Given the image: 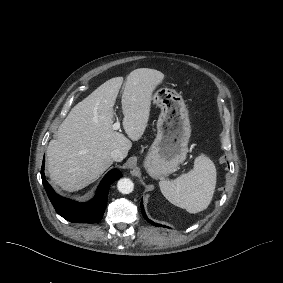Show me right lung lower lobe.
<instances>
[{
    "label": "right lung lower lobe",
    "mask_w": 283,
    "mask_h": 283,
    "mask_svg": "<svg viewBox=\"0 0 283 283\" xmlns=\"http://www.w3.org/2000/svg\"><path fill=\"white\" fill-rule=\"evenodd\" d=\"M43 159L41 177L47 195L57 213L70 222L75 223H96L103 217L110 185L113 181L121 177L117 169L109 171L101 181L96 196L93 200L86 203H77L70 199L63 198L56 194L45 179Z\"/></svg>",
    "instance_id": "1"
}]
</instances>
